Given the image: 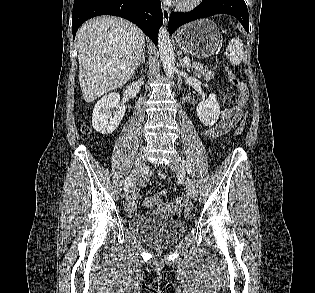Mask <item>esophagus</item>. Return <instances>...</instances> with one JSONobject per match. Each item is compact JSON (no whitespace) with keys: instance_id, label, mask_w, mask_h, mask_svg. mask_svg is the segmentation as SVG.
<instances>
[{"instance_id":"obj_1","label":"esophagus","mask_w":315,"mask_h":293,"mask_svg":"<svg viewBox=\"0 0 315 293\" xmlns=\"http://www.w3.org/2000/svg\"><path fill=\"white\" fill-rule=\"evenodd\" d=\"M162 13H163L164 22L167 24L168 20H169V17H170V10H169V8L163 6L162 7Z\"/></svg>"}]
</instances>
